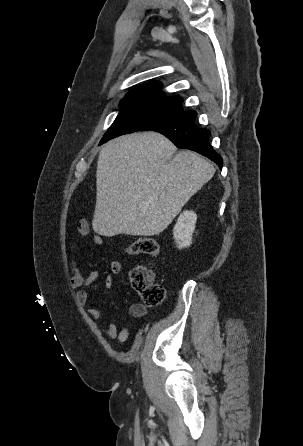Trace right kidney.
Listing matches in <instances>:
<instances>
[{
	"label": "right kidney",
	"mask_w": 303,
	"mask_h": 446,
	"mask_svg": "<svg viewBox=\"0 0 303 446\" xmlns=\"http://www.w3.org/2000/svg\"><path fill=\"white\" fill-rule=\"evenodd\" d=\"M197 216L193 211H184L180 214L173 229V236L179 249L192 244V233L195 229Z\"/></svg>",
	"instance_id": "ca27d5eb"
}]
</instances>
